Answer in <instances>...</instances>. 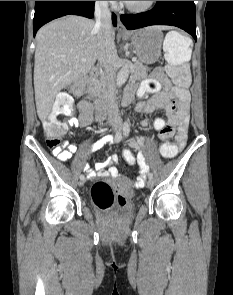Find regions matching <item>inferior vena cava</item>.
Masks as SVG:
<instances>
[{"instance_id": "inferior-vena-cava-1", "label": "inferior vena cava", "mask_w": 233, "mask_h": 295, "mask_svg": "<svg viewBox=\"0 0 233 295\" xmlns=\"http://www.w3.org/2000/svg\"><path fill=\"white\" fill-rule=\"evenodd\" d=\"M95 29L98 31L99 62L105 70V104L108 115L118 118V104L116 99L115 71L113 68L117 58V51L114 40L111 36V13L108 8V1L95 2Z\"/></svg>"}]
</instances>
